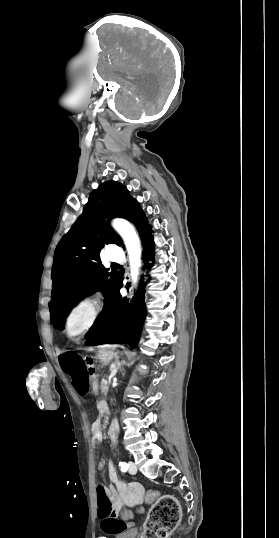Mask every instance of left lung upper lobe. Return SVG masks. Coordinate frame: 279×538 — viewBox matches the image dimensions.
I'll list each match as a JSON object with an SVG mask.
<instances>
[{"mask_svg":"<svg viewBox=\"0 0 279 538\" xmlns=\"http://www.w3.org/2000/svg\"><path fill=\"white\" fill-rule=\"evenodd\" d=\"M114 217L131 221L141 235L148 226L139 203L116 181H108L94 190L83 213L56 247L53 263L52 302L49 304L52 324L62 329L64 316L85 296L101 289L106 306L85 336L104 326L115 309L114 293L120 278L108 272L100 260L104 244L122 245L120 237L110 227ZM124 247V246H123Z\"/></svg>","mask_w":279,"mask_h":538,"instance_id":"left-lung-upper-lobe-1","label":"left lung upper lobe"}]
</instances>
